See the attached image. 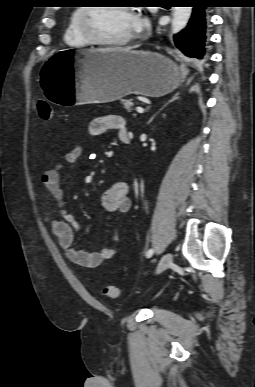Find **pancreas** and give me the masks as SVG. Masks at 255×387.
I'll return each instance as SVG.
<instances>
[{"label": "pancreas", "mask_w": 255, "mask_h": 387, "mask_svg": "<svg viewBox=\"0 0 255 387\" xmlns=\"http://www.w3.org/2000/svg\"><path fill=\"white\" fill-rule=\"evenodd\" d=\"M121 103L128 111H131V107L134 105L131 100H127V99H121Z\"/></svg>", "instance_id": "1"}]
</instances>
